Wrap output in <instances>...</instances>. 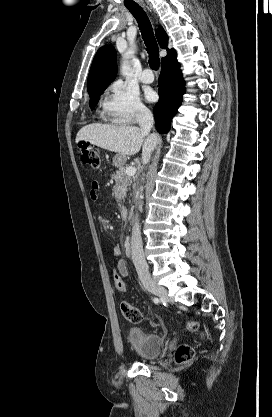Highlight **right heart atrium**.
<instances>
[{
	"label": "right heart atrium",
	"mask_w": 272,
	"mask_h": 417,
	"mask_svg": "<svg viewBox=\"0 0 272 417\" xmlns=\"http://www.w3.org/2000/svg\"><path fill=\"white\" fill-rule=\"evenodd\" d=\"M103 111L117 124H131L149 115L139 93L122 81L113 82L106 93Z\"/></svg>",
	"instance_id": "right-heart-atrium-1"
}]
</instances>
